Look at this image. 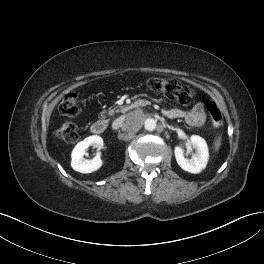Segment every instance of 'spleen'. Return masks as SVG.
<instances>
[{
    "instance_id": "3e777b00",
    "label": "spleen",
    "mask_w": 264,
    "mask_h": 264,
    "mask_svg": "<svg viewBox=\"0 0 264 264\" xmlns=\"http://www.w3.org/2000/svg\"><path fill=\"white\" fill-rule=\"evenodd\" d=\"M220 146V141H217L216 145H215V148L218 149Z\"/></svg>"
}]
</instances>
